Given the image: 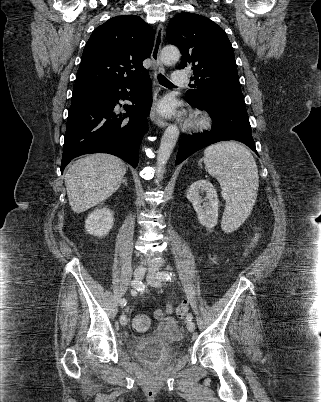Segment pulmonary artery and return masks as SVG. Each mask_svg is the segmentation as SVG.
Masks as SVG:
<instances>
[{
  "label": "pulmonary artery",
  "mask_w": 321,
  "mask_h": 402,
  "mask_svg": "<svg viewBox=\"0 0 321 402\" xmlns=\"http://www.w3.org/2000/svg\"><path fill=\"white\" fill-rule=\"evenodd\" d=\"M172 83L174 85H184L188 83V78L184 70H176L172 74Z\"/></svg>",
  "instance_id": "1"
}]
</instances>
